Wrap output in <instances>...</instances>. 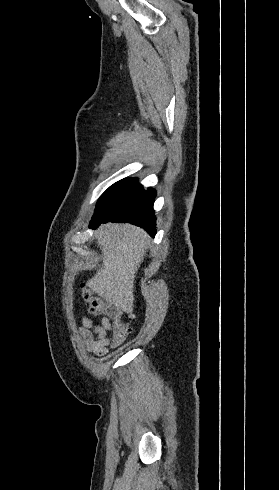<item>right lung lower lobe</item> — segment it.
<instances>
[{"label": "right lung lower lobe", "mask_w": 279, "mask_h": 490, "mask_svg": "<svg viewBox=\"0 0 279 490\" xmlns=\"http://www.w3.org/2000/svg\"><path fill=\"white\" fill-rule=\"evenodd\" d=\"M156 191L145 190L141 185L127 189L114 197L105 214L93 219L90 227L97 228L101 223H132L144 228L151 236L155 235L156 223L153 202Z\"/></svg>", "instance_id": "1"}]
</instances>
